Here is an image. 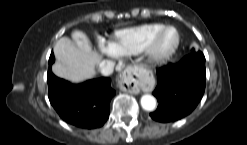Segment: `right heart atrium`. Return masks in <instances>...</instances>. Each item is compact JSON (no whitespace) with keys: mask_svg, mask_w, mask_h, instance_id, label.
I'll list each match as a JSON object with an SVG mask.
<instances>
[{"mask_svg":"<svg viewBox=\"0 0 247 145\" xmlns=\"http://www.w3.org/2000/svg\"><path fill=\"white\" fill-rule=\"evenodd\" d=\"M100 50L103 54H105L108 57L116 58L118 54L115 52V50L111 47V45L107 46H100Z\"/></svg>","mask_w":247,"mask_h":145,"instance_id":"1","label":"right heart atrium"}]
</instances>
